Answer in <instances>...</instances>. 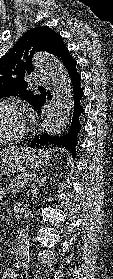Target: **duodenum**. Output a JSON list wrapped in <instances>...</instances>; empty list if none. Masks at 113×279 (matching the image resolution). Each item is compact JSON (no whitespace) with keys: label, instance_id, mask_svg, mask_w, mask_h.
Returning <instances> with one entry per match:
<instances>
[{"label":"duodenum","instance_id":"1","mask_svg":"<svg viewBox=\"0 0 113 279\" xmlns=\"http://www.w3.org/2000/svg\"><path fill=\"white\" fill-rule=\"evenodd\" d=\"M23 213V206L21 204H17L14 209L15 218H20Z\"/></svg>","mask_w":113,"mask_h":279}]
</instances>
